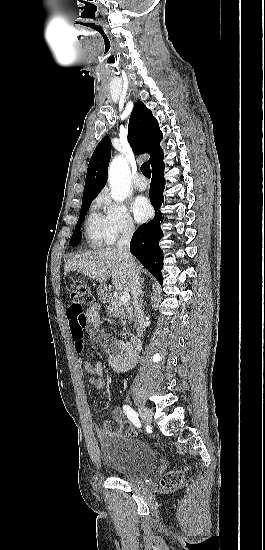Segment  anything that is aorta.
Returning <instances> with one entry per match:
<instances>
[{"mask_svg": "<svg viewBox=\"0 0 265 550\" xmlns=\"http://www.w3.org/2000/svg\"><path fill=\"white\" fill-rule=\"evenodd\" d=\"M109 183L111 198L123 202L130 191L131 174L126 160L121 155L115 157L110 164Z\"/></svg>", "mask_w": 265, "mask_h": 550, "instance_id": "aorta-1", "label": "aorta"}]
</instances>
